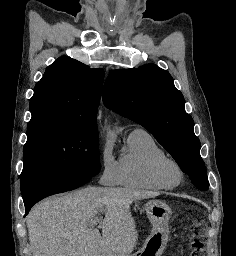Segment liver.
<instances>
[{"label":"liver","mask_w":236,"mask_h":256,"mask_svg":"<svg viewBox=\"0 0 236 256\" xmlns=\"http://www.w3.org/2000/svg\"><path fill=\"white\" fill-rule=\"evenodd\" d=\"M158 192L129 188H84L36 204L26 216L33 256H127L137 242L130 204ZM105 212L102 236L87 222Z\"/></svg>","instance_id":"6515ba94"}]
</instances>
